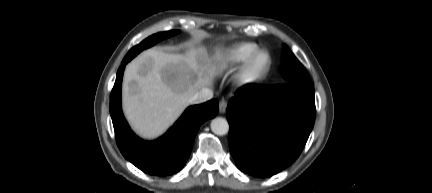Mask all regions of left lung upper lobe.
<instances>
[{
  "instance_id": "5c2ea615",
  "label": "left lung upper lobe",
  "mask_w": 432,
  "mask_h": 193,
  "mask_svg": "<svg viewBox=\"0 0 432 193\" xmlns=\"http://www.w3.org/2000/svg\"><path fill=\"white\" fill-rule=\"evenodd\" d=\"M281 73L287 82L310 83L306 70L286 45L282 49Z\"/></svg>"
}]
</instances>
